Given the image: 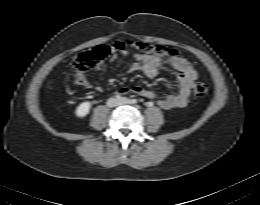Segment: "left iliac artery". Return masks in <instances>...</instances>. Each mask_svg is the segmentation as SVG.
Segmentation results:
<instances>
[{"instance_id": "obj_1", "label": "left iliac artery", "mask_w": 260, "mask_h": 205, "mask_svg": "<svg viewBox=\"0 0 260 205\" xmlns=\"http://www.w3.org/2000/svg\"><path fill=\"white\" fill-rule=\"evenodd\" d=\"M131 103H132V104H136V103H137V100H136V99H132V100H131Z\"/></svg>"}]
</instances>
